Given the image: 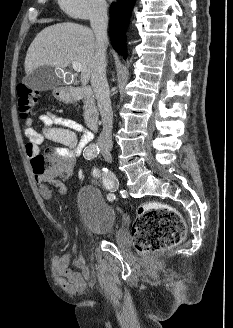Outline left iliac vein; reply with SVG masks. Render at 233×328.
Listing matches in <instances>:
<instances>
[{"instance_id": "4c4485c4", "label": "left iliac vein", "mask_w": 233, "mask_h": 328, "mask_svg": "<svg viewBox=\"0 0 233 328\" xmlns=\"http://www.w3.org/2000/svg\"><path fill=\"white\" fill-rule=\"evenodd\" d=\"M103 156H104V158H105V160H106L107 162H111V161H112V157H111L110 154H105V153H103Z\"/></svg>"}]
</instances>
